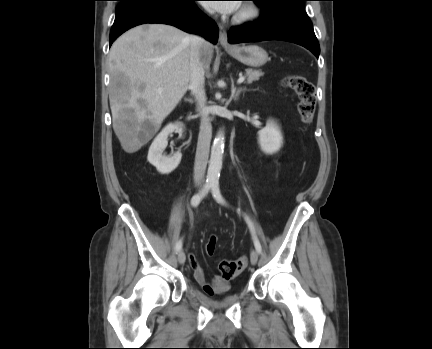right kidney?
<instances>
[{
  "label": "right kidney",
  "mask_w": 432,
  "mask_h": 349,
  "mask_svg": "<svg viewBox=\"0 0 432 349\" xmlns=\"http://www.w3.org/2000/svg\"><path fill=\"white\" fill-rule=\"evenodd\" d=\"M182 127L183 124L181 123L168 124L157 135L149 148L147 160L161 174L171 173L181 161L182 154L180 152H176L172 156H166L163 151L168 145V135L174 131L182 130Z\"/></svg>",
  "instance_id": "1"
}]
</instances>
